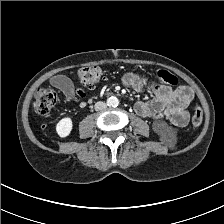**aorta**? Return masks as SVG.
Returning a JSON list of instances; mask_svg holds the SVG:
<instances>
[{
	"label": "aorta",
	"instance_id": "aorta-1",
	"mask_svg": "<svg viewBox=\"0 0 224 224\" xmlns=\"http://www.w3.org/2000/svg\"><path fill=\"white\" fill-rule=\"evenodd\" d=\"M118 104H119V100L116 97H110L108 99V105L109 106L116 107V106H118Z\"/></svg>",
	"mask_w": 224,
	"mask_h": 224
}]
</instances>
